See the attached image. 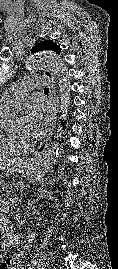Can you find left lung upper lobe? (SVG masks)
Here are the masks:
<instances>
[{"instance_id":"5c2ea615","label":"left lung upper lobe","mask_w":118,"mask_h":269,"mask_svg":"<svg viewBox=\"0 0 118 269\" xmlns=\"http://www.w3.org/2000/svg\"><path fill=\"white\" fill-rule=\"evenodd\" d=\"M42 50H51L58 54L61 52V48L52 40H45L40 45L33 47L31 53H35Z\"/></svg>"}]
</instances>
